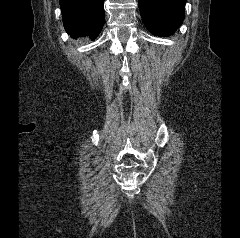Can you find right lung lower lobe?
<instances>
[{"instance_id": "obj_1", "label": "right lung lower lobe", "mask_w": 240, "mask_h": 238, "mask_svg": "<svg viewBox=\"0 0 240 238\" xmlns=\"http://www.w3.org/2000/svg\"><path fill=\"white\" fill-rule=\"evenodd\" d=\"M103 5L104 0H60L66 32L73 38H96L105 21Z\"/></svg>"}]
</instances>
